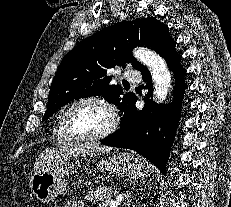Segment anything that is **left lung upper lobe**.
<instances>
[{
	"label": "left lung upper lobe",
	"mask_w": 231,
	"mask_h": 207,
	"mask_svg": "<svg viewBox=\"0 0 231 207\" xmlns=\"http://www.w3.org/2000/svg\"><path fill=\"white\" fill-rule=\"evenodd\" d=\"M173 41L168 27L154 17L123 21L83 40L61 61L43 119L69 101L89 96H102L126 112L136 96L127 93L122 98V87L109 84L107 71L126 63L141 71L144 66L132 56L133 47L147 46L161 55Z\"/></svg>",
	"instance_id": "5c2ea615"
}]
</instances>
